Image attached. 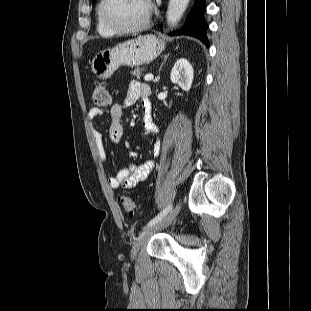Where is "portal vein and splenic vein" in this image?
I'll return each mask as SVG.
<instances>
[{"mask_svg": "<svg viewBox=\"0 0 311 311\" xmlns=\"http://www.w3.org/2000/svg\"><path fill=\"white\" fill-rule=\"evenodd\" d=\"M154 76L152 74H146L145 77H144V80L145 81H151L153 80Z\"/></svg>", "mask_w": 311, "mask_h": 311, "instance_id": "portal-vein-and-splenic-vein-1", "label": "portal vein and splenic vein"}]
</instances>
